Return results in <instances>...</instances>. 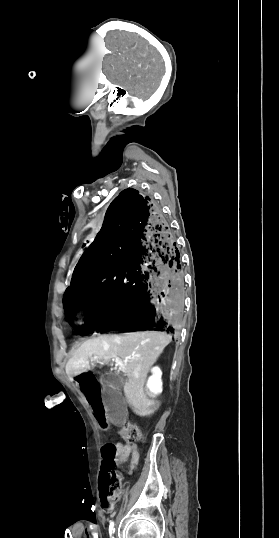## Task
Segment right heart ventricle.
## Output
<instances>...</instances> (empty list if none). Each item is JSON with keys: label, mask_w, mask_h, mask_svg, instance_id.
<instances>
[{"label": "right heart ventricle", "mask_w": 279, "mask_h": 538, "mask_svg": "<svg viewBox=\"0 0 279 538\" xmlns=\"http://www.w3.org/2000/svg\"><path fill=\"white\" fill-rule=\"evenodd\" d=\"M56 229H57V232L58 234L60 235H65L66 234V229H65V225L63 223V221L61 219H59L56 223ZM72 236H74V232L72 231Z\"/></svg>", "instance_id": "right-heart-ventricle-1"}]
</instances>
